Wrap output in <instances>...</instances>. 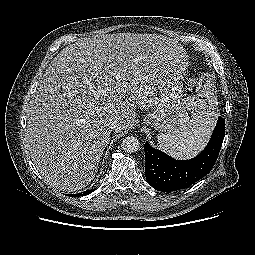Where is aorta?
Instances as JSON below:
<instances>
[{"label":"aorta","instance_id":"obj_1","mask_svg":"<svg viewBox=\"0 0 255 255\" xmlns=\"http://www.w3.org/2000/svg\"><path fill=\"white\" fill-rule=\"evenodd\" d=\"M121 147L127 153H134L139 149V141L134 136H128L123 139Z\"/></svg>","mask_w":255,"mask_h":255}]
</instances>
